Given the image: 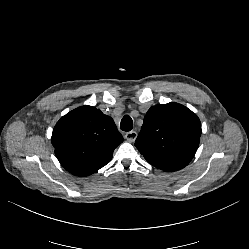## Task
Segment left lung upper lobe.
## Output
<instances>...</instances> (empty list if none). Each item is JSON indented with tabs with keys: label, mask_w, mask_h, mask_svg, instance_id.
I'll return each mask as SVG.
<instances>
[{
	"label": "left lung upper lobe",
	"mask_w": 249,
	"mask_h": 249,
	"mask_svg": "<svg viewBox=\"0 0 249 249\" xmlns=\"http://www.w3.org/2000/svg\"><path fill=\"white\" fill-rule=\"evenodd\" d=\"M200 136L198 116L187 107L172 102L148 110L135 146L151 165L173 172L189 164Z\"/></svg>",
	"instance_id": "obj_1"
}]
</instances>
